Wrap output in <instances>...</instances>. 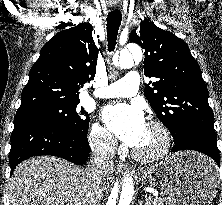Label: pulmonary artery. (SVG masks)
Wrapping results in <instances>:
<instances>
[{
  "mask_svg": "<svg viewBox=\"0 0 222 205\" xmlns=\"http://www.w3.org/2000/svg\"><path fill=\"white\" fill-rule=\"evenodd\" d=\"M139 78L136 71H128L122 79L95 92L100 98L131 97L138 92Z\"/></svg>",
  "mask_w": 222,
  "mask_h": 205,
  "instance_id": "e3ab8cb5",
  "label": "pulmonary artery"
}]
</instances>
